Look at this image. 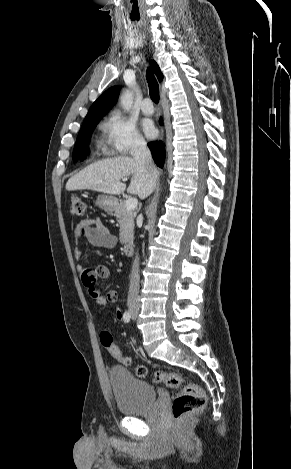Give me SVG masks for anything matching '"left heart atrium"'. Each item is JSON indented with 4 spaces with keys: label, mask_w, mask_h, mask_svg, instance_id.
Here are the masks:
<instances>
[{
    "label": "left heart atrium",
    "mask_w": 291,
    "mask_h": 469,
    "mask_svg": "<svg viewBox=\"0 0 291 469\" xmlns=\"http://www.w3.org/2000/svg\"><path fill=\"white\" fill-rule=\"evenodd\" d=\"M143 130L148 138H153L156 135V129L150 121L144 123Z\"/></svg>",
    "instance_id": "left-heart-atrium-1"
}]
</instances>
